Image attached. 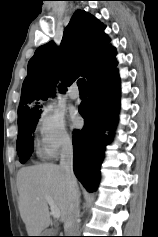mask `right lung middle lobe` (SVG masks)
Here are the masks:
<instances>
[{
    "label": "right lung middle lobe",
    "mask_w": 158,
    "mask_h": 237,
    "mask_svg": "<svg viewBox=\"0 0 158 237\" xmlns=\"http://www.w3.org/2000/svg\"><path fill=\"white\" fill-rule=\"evenodd\" d=\"M39 115L18 119L17 152L21 163H25L33 152V137Z\"/></svg>",
    "instance_id": "right-lung-middle-lobe-1"
}]
</instances>
